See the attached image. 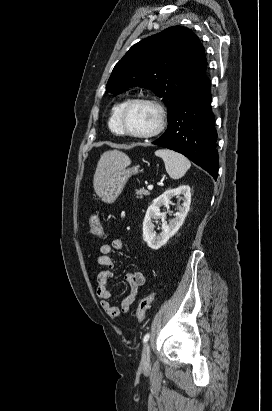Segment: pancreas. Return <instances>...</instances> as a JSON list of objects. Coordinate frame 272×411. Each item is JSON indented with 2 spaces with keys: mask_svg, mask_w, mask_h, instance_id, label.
I'll return each instance as SVG.
<instances>
[{
  "mask_svg": "<svg viewBox=\"0 0 272 411\" xmlns=\"http://www.w3.org/2000/svg\"><path fill=\"white\" fill-rule=\"evenodd\" d=\"M136 195H137V198L141 199L144 196L150 195V193H149V191H147L145 189H139V190H136Z\"/></svg>",
  "mask_w": 272,
  "mask_h": 411,
  "instance_id": "obj_1",
  "label": "pancreas"
}]
</instances>
